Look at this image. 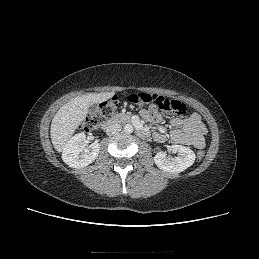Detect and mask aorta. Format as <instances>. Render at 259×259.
I'll return each instance as SVG.
<instances>
[{
	"label": "aorta",
	"instance_id": "obj_1",
	"mask_svg": "<svg viewBox=\"0 0 259 259\" xmlns=\"http://www.w3.org/2000/svg\"><path fill=\"white\" fill-rule=\"evenodd\" d=\"M133 126L131 125V124H126L125 126H124V132L126 133V134H131L132 132H133Z\"/></svg>",
	"mask_w": 259,
	"mask_h": 259
}]
</instances>
